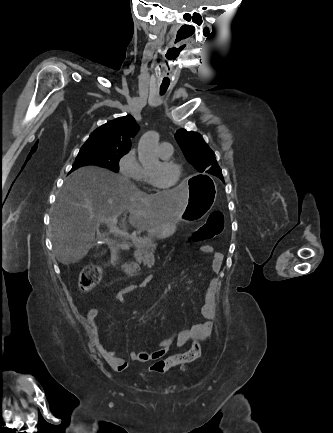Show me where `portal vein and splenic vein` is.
Segmentation results:
<instances>
[{
	"label": "portal vein and splenic vein",
	"instance_id": "1",
	"mask_svg": "<svg viewBox=\"0 0 333 433\" xmlns=\"http://www.w3.org/2000/svg\"><path fill=\"white\" fill-rule=\"evenodd\" d=\"M117 222H118L117 217L105 221V223L110 227L111 233L118 235V236H121L124 239H131L133 242H141V243L145 242L144 238L129 236L125 230H120L119 228H117L115 226L117 224ZM127 244H128V242L126 240H124L120 244V246H126Z\"/></svg>",
	"mask_w": 333,
	"mask_h": 433
}]
</instances>
